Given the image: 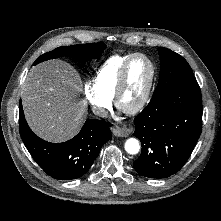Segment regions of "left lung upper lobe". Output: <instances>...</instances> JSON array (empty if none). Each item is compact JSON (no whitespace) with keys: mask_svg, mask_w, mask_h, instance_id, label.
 <instances>
[{"mask_svg":"<svg viewBox=\"0 0 221 221\" xmlns=\"http://www.w3.org/2000/svg\"><path fill=\"white\" fill-rule=\"evenodd\" d=\"M158 52L161 61L160 77L152 97L164 94L177 84L195 80L190 65L182 56L163 47H159Z\"/></svg>","mask_w":221,"mask_h":221,"instance_id":"left-lung-upper-lobe-1","label":"left lung upper lobe"}]
</instances>
